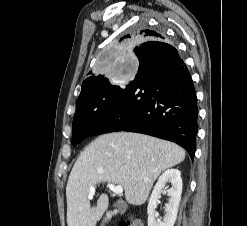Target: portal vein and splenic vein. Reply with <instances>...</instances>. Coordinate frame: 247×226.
<instances>
[{
  "instance_id": "18ae733b",
  "label": "portal vein and splenic vein",
  "mask_w": 247,
  "mask_h": 226,
  "mask_svg": "<svg viewBox=\"0 0 247 226\" xmlns=\"http://www.w3.org/2000/svg\"><path fill=\"white\" fill-rule=\"evenodd\" d=\"M107 187H108L112 192H114V193L117 194V195H120V194L123 193V187L120 186V185L115 186V185H113V184L108 183V184H107ZM94 194H95V186H91V187H90V192H89L88 198H89V199H92Z\"/></svg>"
}]
</instances>
